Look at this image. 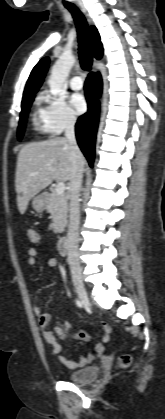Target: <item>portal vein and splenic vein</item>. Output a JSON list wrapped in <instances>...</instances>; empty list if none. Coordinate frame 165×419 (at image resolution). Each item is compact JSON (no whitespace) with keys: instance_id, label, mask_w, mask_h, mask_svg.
I'll return each instance as SVG.
<instances>
[{"instance_id":"1","label":"portal vein and splenic vein","mask_w":165,"mask_h":419,"mask_svg":"<svg viewBox=\"0 0 165 419\" xmlns=\"http://www.w3.org/2000/svg\"><path fill=\"white\" fill-rule=\"evenodd\" d=\"M33 174H35V173H33ZM65 184H64V182H58L57 183V186H56V188H55V191H56V193L58 194V195H62L63 193H64V191H65Z\"/></svg>"}]
</instances>
